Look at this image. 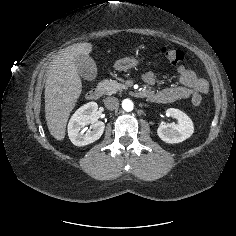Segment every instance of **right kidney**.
<instances>
[{
    "instance_id": "ca27d5eb",
    "label": "right kidney",
    "mask_w": 236,
    "mask_h": 236,
    "mask_svg": "<svg viewBox=\"0 0 236 236\" xmlns=\"http://www.w3.org/2000/svg\"><path fill=\"white\" fill-rule=\"evenodd\" d=\"M97 110V103L89 102L81 106L71 117L68 124V136L74 145L85 146L91 144L103 134L105 124L96 119ZM88 124H91V129L84 133L82 128Z\"/></svg>"
}]
</instances>
